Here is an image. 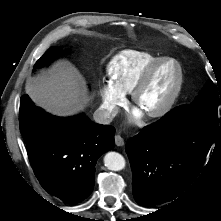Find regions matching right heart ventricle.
<instances>
[{"mask_svg":"<svg viewBox=\"0 0 221 221\" xmlns=\"http://www.w3.org/2000/svg\"><path fill=\"white\" fill-rule=\"evenodd\" d=\"M159 58L146 51H122L108 64L111 83L124 94L131 93L147 68Z\"/></svg>","mask_w":221,"mask_h":221,"instance_id":"e07e8e85","label":"right heart ventricle"}]
</instances>
